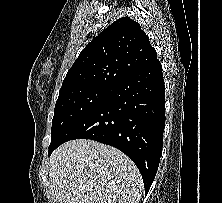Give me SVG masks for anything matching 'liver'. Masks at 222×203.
Wrapping results in <instances>:
<instances>
[{"label": "liver", "instance_id": "obj_1", "mask_svg": "<svg viewBox=\"0 0 222 203\" xmlns=\"http://www.w3.org/2000/svg\"><path fill=\"white\" fill-rule=\"evenodd\" d=\"M53 203H139L141 174L118 149L93 141L59 146L49 163Z\"/></svg>", "mask_w": 222, "mask_h": 203}]
</instances>
